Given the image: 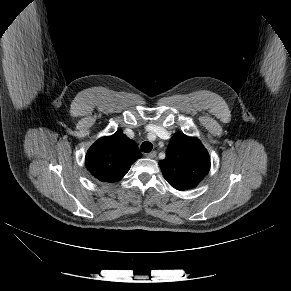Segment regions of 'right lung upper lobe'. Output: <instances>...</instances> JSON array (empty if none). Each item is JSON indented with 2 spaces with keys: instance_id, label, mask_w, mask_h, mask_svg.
Masks as SVG:
<instances>
[{
  "instance_id": "right-lung-upper-lobe-1",
  "label": "right lung upper lobe",
  "mask_w": 291,
  "mask_h": 291,
  "mask_svg": "<svg viewBox=\"0 0 291 291\" xmlns=\"http://www.w3.org/2000/svg\"><path fill=\"white\" fill-rule=\"evenodd\" d=\"M141 156L137 144L119 130L98 139L88 150L85 164L101 182L114 183L122 179Z\"/></svg>"
}]
</instances>
